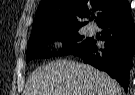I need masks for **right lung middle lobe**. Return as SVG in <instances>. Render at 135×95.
<instances>
[{"label": "right lung middle lobe", "instance_id": "obj_1", "mask_svg": "<svg viewBox=\"0 0 135 95\" xmlns=\"http://www.w3.org/2000/svg\"><path fill=\"white\" fill-rule=\"evenodd\" d=\"M54 40L62 41L64 43L60 53L52 54L46 47L47 44ZM89 40V38L84 40V37L78 33V30L61 32L45 31L32 33L28 43L26 62H29L31 59L35 58H48L50 56L73 54L74 52L84 47Z\"/></svg>", "mask_w": 135, "mask_h": 95}]
</instances>
